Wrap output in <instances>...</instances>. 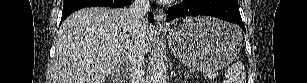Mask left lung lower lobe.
<instances>
[{
	"label": "left lung lower lobe",
	"instance_id": "1",
	"mask_svg": "<svg viewBox=\"0 0 307 83\" xmlns=\"http://www.w3.org/2000/svg\"><path fill=\"white\" fill-rule=\"evenodd\" d=\"M197 15H207L227 22H235L245 31L237 0H183L169 8L167 21Z\"/></svg>",
	"mask_w": 307,
	"mask_h": 83
}]
</instances>
